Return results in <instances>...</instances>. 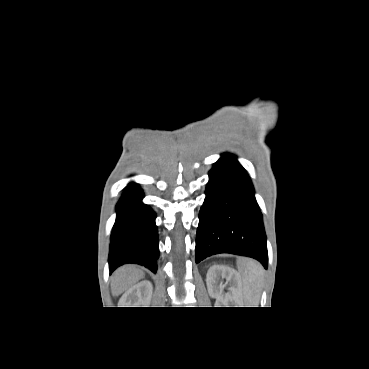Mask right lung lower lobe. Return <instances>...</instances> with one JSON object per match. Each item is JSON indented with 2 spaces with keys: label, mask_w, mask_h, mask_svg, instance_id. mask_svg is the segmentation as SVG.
Masks as SVG:
<instances>
[{
  "label": "right lung lower lobe",
  "mask_w": 369,
  "mask_h": 369,
  "mask_svg": "<svg viewBox=\"0 0 369 369\" xmlns=\"http://www.w3.org/2000/svg\"><path fill=\"white\" fill-rule=\"evenodd\" d=\"M141 188L130 183L116 205L117 218L111 234L109 270L135 263L156 273L159 256L155 212L144 205Z\"/></svg>",
  "instance_id": "98d812e1"
}]
</instances>
